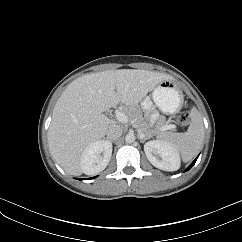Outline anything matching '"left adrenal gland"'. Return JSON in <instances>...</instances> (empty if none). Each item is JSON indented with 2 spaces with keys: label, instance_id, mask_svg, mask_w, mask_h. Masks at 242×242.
<instances>
[{
  "label": "left adrenal gland",
  "instance_id": "left-adrenal-gland-1",
  "mask_svg": "<svg viewBox=\"0 0 242 242\" xmlns=\"http://www.w3.org/2000/svg\"><path fill=\"white\" fill-rule=\"evenodd\" d=\"M139 139H140V142H141V143H144L145 140H147V139H149V138H147V137H145V136H144V137H140V136H139Z\"/></svg>",
  "mask_w": 242,
  "mask_h": 242
}]
</instances>
